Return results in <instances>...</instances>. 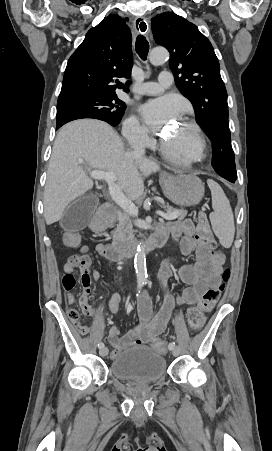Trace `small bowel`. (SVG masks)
<instances>
[{
    "mask_svg": "<svg viewBox=\"0 0 272 451\" xmlns=\"http://www.w3.org/2000/svg\"><path fill=\"white\" fill-rule=\"evenodd\" d=\"M198 228L196 229L193 222L189 219H178L167 223H161L154 235L166 237L168 234L172 236L173 241L178 246L180 253L184 256L195 254V261L192 264L182 265L178 269L175 266L178 264V258L168 257L162 264L158 276L160 288L165 296L164 304L154 318L151 317V301L146 292L142 293L138 301V318L139 323L136 324L123 337H120V331L117 327L112 326L108 332V343L112 346L110 353L111 359H116L122 351L130 346L145 345L150 341H154L164 332L167 324L172 316L173 310L176 306L193 305L197 303L207 288L217 287L221 282V273L225 263V255L218 249L220 258L213 260L211 258V249L204 246L197 239ZM99 251L101 247L98 248ZM79 252H88V247L82 245ZM74 271V270H73ZM177 274L178 277L187 285L183 289L182 294L173 298L170 294L168 282L170 278ZM100 277V272L93 269L92 274H81L80 282L82 285V296L79 299L80 306L87 303V297L91 292V284L93 280ZM121 296L118 292L111 297L108 309L110 312H116L119 308ZM69 304L76 302L74 295L69 300ZM89 310L85 313L92 314V309L89 305ZM69 311H77L70 308Z\"/></svg>",
    "mask_w": 272,
    "mask_h": 451,
    "instance_id": "c3829d8e",
    "label": "small bowel"
}]
</instances>
